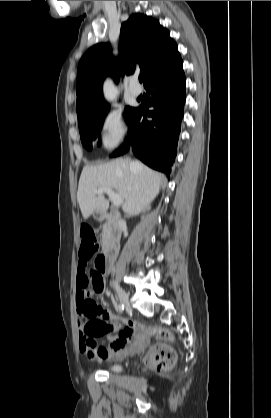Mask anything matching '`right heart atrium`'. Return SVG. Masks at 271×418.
<instances>
[{"label":"right heart atrium","mask_w":271,"mask_h":418,"mask_svg":"<svg viewBox=\"0 0 271 418\" xmlns=\"http://www.w3.org/2000/svg\"><path fill=\"white\" fill-rule=\"evenodd\" d=\"M101 144L108 150L121 146L129 134V124L125 112L118 107L107 109L99 121Z\"/></svg>","instance_id":"right-heart-atrium-1"}]
</instances>
